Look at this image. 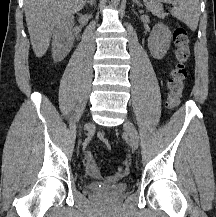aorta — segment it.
Instances as JSON below:
<instances>
[{
  "mask_svg": "<svg viewBox=\"0 0 216 217\" xmlns=\"http://www.w3.org/2000/svg\"><path fill=\"white\" fill-rule=\"evenodd\" d=\"M112 1V3H113V5H118L119 4V2H120V0H111Z\"/></svg>",
  "mask_w": 216,
  "mask_h": 217,
  "instance_id": "1",
  "label": "aorta"
}]
</instances>
